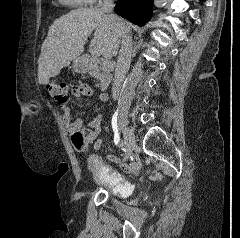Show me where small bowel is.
I'll use <instances>...</instances> for the list:
<instances>
[{"instance_id": "1", "label": "small bowel", "mask_w": 240, "mask_h": 238, "mask_svg": "<svg viewBox=\"0 0 240 238\" xmlns=\"http://www.w3.org/2000/svg\"><path fill=\"white\" fill-rule=\"evenodd\" d=\"M71 94L76 98L89 97L93 95V89L90 85L79 83L71 88ZM109 96L106 93H101L98 96V101L106 102L108 101ZM61 109L63 112V120L67 127V129L73 133L74 131H81L86 133V143H93L94 153L98 154L101 149L100 143H105L106 139H99L98 136L101 133V124H102V116L97 115L94 117L89 124L84 127L83 120L78 117H74L71 109L66 105L62 104ZM107 144V143H106ZM78 150H82L83 147H77ZM107 162H115L116 165L120 167L122 172H126L127 175H137L138 169L140 168L139 164L133 166V164H128L127 161H123L122 157H119L118 154H107L106 155ZM142 180L146 179L145 175L141 176ZM143 187H150V182H143Z\"/></svg>"}]
</instances>
